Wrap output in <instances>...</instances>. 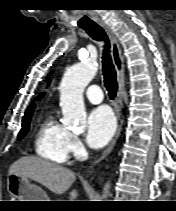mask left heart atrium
<instances>
[{
  "label": "left heart atrium",
  "instance_id": "obj_1",
  "mask_svg": "<svg viewBox=\"0 0 176 211\" xmlns=\"http://www.w3.org/2000/svg\"><path fill=\"white\" fill-rule=\"evenodd\" d=\"M115 128L112 112L106 107H98L87 118L86 141L91 147H103L112 138Z\"/></svg>",
  "mask_w": 176,
  "mask_h": 211
}]
</instances>
